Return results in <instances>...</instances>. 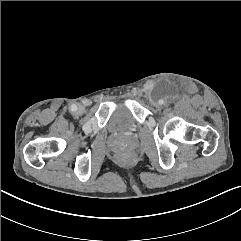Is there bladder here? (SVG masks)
I'll use <instances>...</instances> for the list:
<instances>
[{
	"mask_svg": "<svg viewBox=\"0 0 241 241\" xmlns=\"http://www.w3.org/2000/svg\"><path fill=\"white\" fill-rule=\"evenodd\" d=\"M137 125V121L131 110L122 105L117 106L113 110L107 122L108 130L115 134L133 132Z\"/></svg>",
	"mask_w": 241,
	"mask_h": 241,
	"instance_id": "obj_1",
	"label": "bladder"
}]
</instances>
